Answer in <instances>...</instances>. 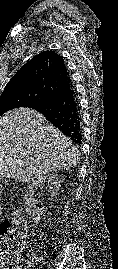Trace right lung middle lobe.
Listing matches in <instances>:
<instances>
[{
  "instance_id": "dd1d6c3e",
  "label": "right lung middle lobe",
  "mask_w": 118,
  "mask_h": 269,
  "mask_svg": "<svg viewBox=\"0 0 118 269\" xmlns=\"http://www.w3.org/2000/svg\"><path fill=\"white\" fill-rule=\"evenodd\" d=\"M34 100V96L26 94L3 95L0 97V115L14 108L27 107Z\"/></svg>"
}]
</instances>
